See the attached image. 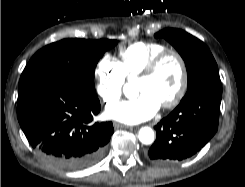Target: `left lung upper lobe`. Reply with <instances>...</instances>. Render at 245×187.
<instances>
[{
    "label": "left lung upper lobe",
    "mask_w": 245,
    "mask_h": 187,
    "mask_svg": "<svg viewBox=\"0 0 245 187\" xmlns=\"http://www.w3.org/2000/svg\"><path fill=\"white\" fill-rule=\"evenodd\" d=\"M169 41L185 61L188 77V90L184 97L194 91L220 83L218 66L207 46L187 32L166 28L155 34Z\"/></svg>",
    "instance_id": "obj_1"
}]
</instances>
